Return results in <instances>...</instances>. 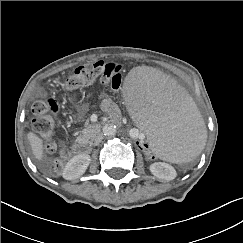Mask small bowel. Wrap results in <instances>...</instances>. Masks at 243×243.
I'll list each match as a JSON object with an SVG mask.
<instances>
[{"mask_svg": "<svg viewBox=\"0 0 243 243\" xmlns=\"http://www.w3.org/2000/svg\"><path fill=\"white\" fill-rule=\"evenodd\" d=\"M99 98L102 100V108L109 112L114 114L117 110L115 103L113 100L109 97V95L103 93L99 95Z\"/></svg>", "mask_w": 243, "mask_h": 243, "instance_id": "small-bowel-1", "label": "small bowel"}]
</instances>
